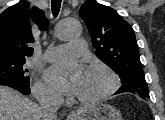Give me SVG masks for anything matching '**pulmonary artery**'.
Wrapping results in <instances>:
<instances>
[{"instance_id": "1", "label": "pulmonary artery", "mask_w": 165, "mask_h": 120, "mask_svg": "<svg viewBox=\"0 0 165 120\" xmlns=\"http://www.w3.org/2000/svg\"><path fill=\"white\" fill-rule=\"evenodd\" d=\"M86 52V44L82 40H74L69 44L48 48L44 58L48 61H57L70 55H81Z\"/></svg>"}]
</instances>
